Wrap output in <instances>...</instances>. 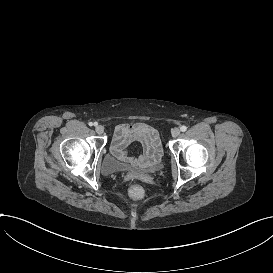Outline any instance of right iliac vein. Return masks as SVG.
<instances>
[{"mask_svg": "<svg viewBox=\"0 0 273 273\" xmlns=\"http://www.w3.org/2000/svg\"><path fill=\"white\" fill-rule=\"evenodd\" d=\"M95 131H96V133H98V134H102V133L104 132V128H103L101 125H97V126L95 127Z\"/></svg>", "mask_w": 273, "mask_h": 273, "instance_id": "1", "label": "right iliac vein"}]
</instances>
